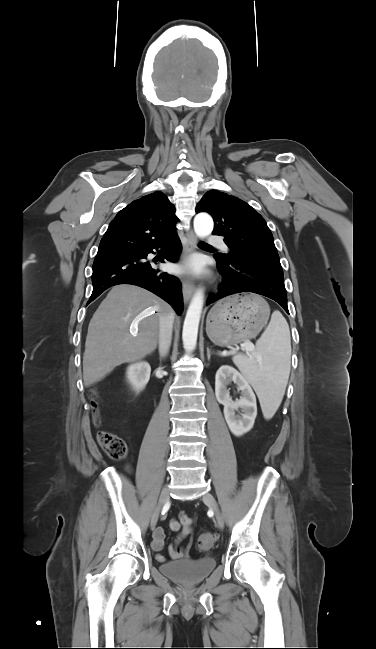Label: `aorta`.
Instances as JSON below:
<instances>
[{"label": "aorta", "mask_w": 376, "mask_h": 649, "mask_svg": "<svg viewBox=\"0 0 376 649\" xmlns=\"http://www.w3.org/2000/svg\"><path fill=\"white\" fill-rule=\"evenodd\" d=\"M214 222L212 217L207 213H198L194 218V230L200 238L207 237L213 231ZM204 305V294L201 289L194 294L192 301L187 309L186 317L183 324L182 340L187 350H192L196 346L199 322Z\"/></svg>", "instance_id": "1"}]
</instances>
